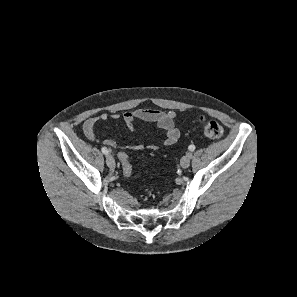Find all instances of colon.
I'll return each instance as SVG.
<instances>
[{"instance_id": "obj_1", "label": "colon", "mask_w": 297, "mask_h": 297, "mask_svg": "<svg viewBox=\"0 0 297 297\" xmlns=\"http://www.w3.org/2000/svg\"><path fill=\"white\" fill-rule=\"evenodd\" d=\"M200 123L202 127L203 134L209 139L217 140L223 135L222 126L213 120H207L204 117L200 118ZM119 160L124 164L123 171L126 177H130L132 175V167L129 163V155L124 152L119 153Z\"/></svg>"}]
</instances>
